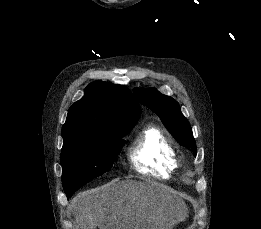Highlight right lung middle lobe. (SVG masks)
<instances>
[{"label":"right lung middle lobe","instance_id":"obj_1","mask_svg":"<svg viewBox=\"0 0 261 229\" xmlns=\"http://www.w3.org/2000/svg\"><path fill=\"white\" fill-rule=\"evenodd\" d=\"M135 124H124L101 131L103 137L83 139L62 147V183L67 197L109 171L116 160L126 136Z\"/></svg>","mask_w":261,"mask_h":229}]
</instances>
